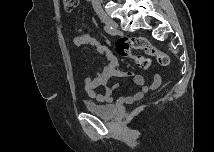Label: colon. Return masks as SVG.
<instances>
[{
    "mask_svg": "<svg viewBox=\"0 0 215 152\" xmlns=\"http://www.w3.org/2000/svg\"><path fill=\"white\" fill-rule=\"evenodd\" d=\"M63 3L65 11L71 12L76 7L77 0H64ZM116 49L120 56L132 57L140 68H148L151 64V57L155 58L162 66L169 64V56L165 52L156 49L148 40L142 37L120 39L117 42ZM131 49L144 50L148 56H132Z\"/></svg>",
    "mask_w": 215,
    "mask_h": 152,
    "instance_id": "obj_1",
    "label": "colon"
}]
</instances>
